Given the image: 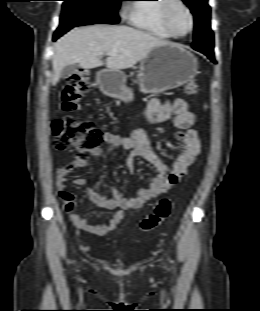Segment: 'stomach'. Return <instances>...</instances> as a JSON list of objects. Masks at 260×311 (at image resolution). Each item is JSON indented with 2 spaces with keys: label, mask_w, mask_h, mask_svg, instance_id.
Masks as SVG:
<instances>
[{
  "label": "stomach",
  "mask_w": 260,
  "mask_h": 311,
  "mask_svg": "<svg viewBox=\"0 0 260 311\" xmlns=\"http://www.w3.org/2000/svg\"><path fill=\"white\" fill-rule=\"evenodd\" d=\"M198 60L183 46L159 45L140 62L139 86L145 93H160L191 81L197 74ZM126 77L119 70L104 69L97 73L100 90L107 96L130 101L132 91L125 86Z\"/></svg>",
  "instance_id": "0dacf381"
}]
</instances>
